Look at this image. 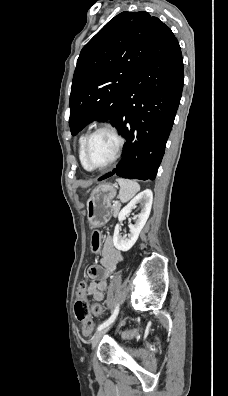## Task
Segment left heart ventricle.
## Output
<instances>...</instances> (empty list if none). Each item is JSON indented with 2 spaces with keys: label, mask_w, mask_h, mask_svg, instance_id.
Returning a JSON list of instances; mask_svg holds the SVG:
<instances>
[{
  "label": "left heart ventricle",
  "mask_w": 228,
  "mask_h": 396,
  "mask_svg": "<svg viewBox=\"0 0 228 396\" xmlns=\"http://www.w3.org/2000/svg\"><path fill=\"white\" fill-rule=\"evenodd\" d=\"M116 139L107 132L101 131L94 135L88 147V158L92 165L106 164L114 155Z\"/></svg>",
  "instance_id": "b2bd125f"
}]
</instances>
